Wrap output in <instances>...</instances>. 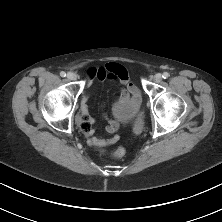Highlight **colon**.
<instances>
[{"label":"colon","instance_id":"1","mask_svg":"<svg viewBox=\"0 0 222 222\" xmlns=\"http://www.w3.org/2000/svg\"><path fill=\"white\" fill-rule=\"evenodd\" d=\"M80 126L81 128H86L90 126V119L88 117L82 118L80 120ZM142 128V118L141 116L138 117L136 125H135V130L139 131ZM108 155L115 159H120L125 155V149L123 147H116L112 148L108 151Z\"/></svg>","mask_w":222,"mask_h":222}]
</instances>
